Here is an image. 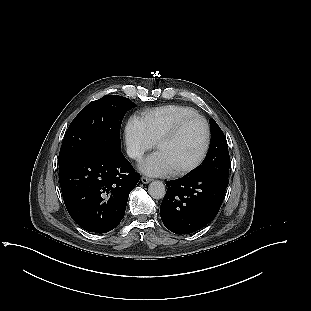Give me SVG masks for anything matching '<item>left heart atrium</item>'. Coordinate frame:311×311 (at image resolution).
<instances>
[{
    "label": "left heart atrium",
    "instance_id": "obj_1",
    "mask_svg": "<svg viewBox=\"0 0 311 311\" xmlns=\"http://www.w3.org/2000/svg\"><path fill=\"white\" fill-rule=\"evenodd\" d=\"M139 169L149 176H165L173 172L165 155L160 151H156L145 158L139 164Z\"/></svg>",
    "mask_w": 311,
    "mask_h": 311
}]
</instances>
